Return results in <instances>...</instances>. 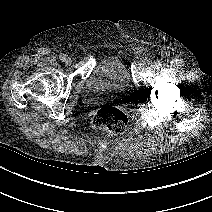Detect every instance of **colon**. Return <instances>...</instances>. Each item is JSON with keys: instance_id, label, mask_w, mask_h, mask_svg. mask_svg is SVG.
Returning a JSON list of instances; mask_svg holds the SVG:
<instances>
[{"instance_id": "colon-1", "label": "colon", "mask_w": 212, "mask_h": 212, "mask_svg": "<svg viewBox=\"0 0 212 212\" xmlns=\"http://www.w3.org/2000/svg\"><path fill=\"white\" fill-rule=\"evenodd\" d=\"M91 122L95 129L106 130L110 133L118 134L125 130L128 118L120 109L112 106H105L96 111Z\"/></svg>"}]
</instances>
